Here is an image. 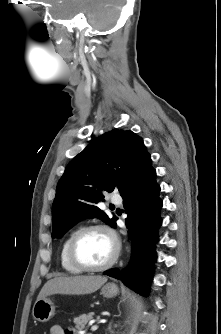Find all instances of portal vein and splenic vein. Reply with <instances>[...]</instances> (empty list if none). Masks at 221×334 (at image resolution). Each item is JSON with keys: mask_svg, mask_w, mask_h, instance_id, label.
<instances>
[{"mask_svg": "<svg viewBox=\"0 0 221 334\" xmlns=\"http://www.w3.org/2000/svg\"><path fill=\"white\" fill-rule=\"evenodd\" d=\"M98 329V325H93L92 327H91V330L92 331H96Z\"/></svg>", "mask_w": 221, "mask_h": 334, "instance_id": "1", "label": "portal vein and splenic vein"}]
</instances>
